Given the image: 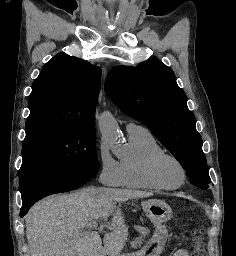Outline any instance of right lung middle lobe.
I'll use <instances>...</instances> for the list:
<instances>
[{
    "label": "right lung middle lobe",
    "instance_id": "obj_1",
    "mask_svg": "<svg viewBox=\"0 0 236 256\" xmlns=\"http://www.w3.org/2000/svg\"><path fill=\"white\" fill-rule=\"evenodd\" d=\"M94 125L39 120L26 122L19 187L74 173H98Z\"/></svg>",
    "mask_w": 236,
    "mask_h": 256
}]
</instances>
